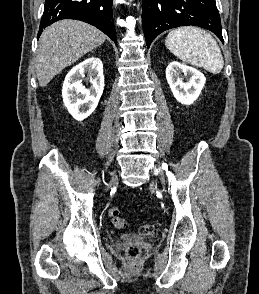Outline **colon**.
<instances>
[{"label": "colon", "instance_id": "colon-1", "mask_svg": "<svg viewBox=\"0 0 259 294\" xmlns=\"http://www.w3.org/2000/svg\"><path fill=\"white\" fill-rule=\"evenodd\" d=\"M119 214V208L116 206H112L108 209V215L111 218L113 225L116 228L122 229L127 226V223L119 216ZM138 231L142 236H152L157 232V226L154 224H143L139 227ZM140 252V248L137 245H130L126 250L127 255L132 259L137 258L140 255Z\"/></svg>", "mask_w": 259, "mask_h": 294}]
</instances>
